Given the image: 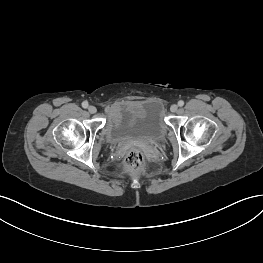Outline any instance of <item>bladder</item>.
Instances as JSON below:
<instances>
[{
    "instance_id": "bladder-1",
    "label": "bladder",
    "mask_w": 263,
    "mask_h": 263,
    "mask_svg": "<svg viewBox=\"0 0 263 263\" xmlns=\"http://www.w3.org/2000/svg\"><path fill=\"white\" fill-rule=\"evenodd\" d=\"M165 132L161 104L155 100L123 102L112 110L106 124L109 142L127 139L158 141Z\"/></svg>"
}]
</instances>
